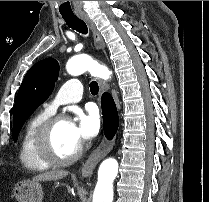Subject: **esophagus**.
<instances>
[{
	"instance_id": "1",
	"label": "esophagus",
	"mask_w": 209,
	"mask_h": 202,
	"mask_svg": "<svg viewBox=\"0 0 209 202\" xmlns=\"http://www.w3.org/2000/svg\"><path fill=\"white\" fill-rule=\"evenodd\" d=\"M77 16L84 20L87 25L90 27L94 39V44L99 52L105 53V46L103 39L100 33L97 31L95 24L88 17L85 12H80ZM100 91L103 92L108 89V86L105 81L99 80ZM114 145V140L108 141L105 137H103L100 145L95 149V151L90 155V157L86 160L81 169L82 177L87 178L92 175L93 170L96 165L112 150Z\"/></svg>"
}]
</instances>
